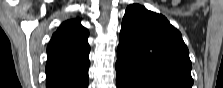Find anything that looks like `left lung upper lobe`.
Segmentation results:
<instances>
[{"instance_id": "obj_1", "label": "left lung upper lobe", "mask_w": 223, "mask_h": 88, "mask_svg": "<svg viewBox=\"0 0 223 88\" xmlns=\"http://www.w3.org/2000/svg\"><path fill=\"white\" fill-rule=\"evenodd\" d=\"M150 88H192V64L181 33L161 14L129 5L122 20L117 62Z\"/></svg>"}]
</instances>
